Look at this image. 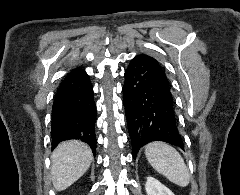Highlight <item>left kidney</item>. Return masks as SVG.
<instances>
[{
    "label": "left kidney",
    "mask_w": 240,
    "mask_h": 195,
    "mask_svg": "<svg viewBox=\"0 0 240 195\" xmlns=\"http://www.w3.org/2000/svg\"><path fill=\"white\" fill-rule=\"evenodd\" d=\"M145 189L147 195H175L169 187L160 183L155 177H147Z\"/></svg>",
    "instance_id": "5707ae66"
}]
</instances>
